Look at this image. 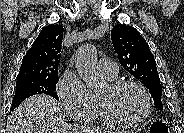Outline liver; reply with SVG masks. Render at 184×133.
<instances>
[{
    "label": "liver",
    "instance_id": "6515ba94",
    "mask_svg": "<svg viewBox=\"0 0 184 133\" xmlns=\"http://www.w3.org/2000/svg\"><path fill=\"white\" fill-rule=\"evenodd\" d=\"M8 133H101L86 127H71L62 120L59 103L48 95L23 101L8 119Z\"/></svg>",
    "mask_w": 184,
    "mask_h": 133
}]
</instances>
